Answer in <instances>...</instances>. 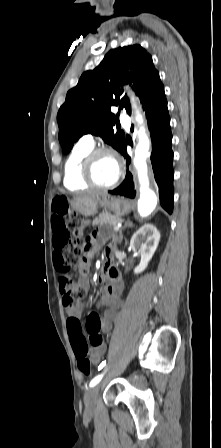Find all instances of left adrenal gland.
<instances>
[{
	"instance_id": "left-adrenal-gland-1",
	"label": "left adrenal gland",
	"mask_w": 221,
	"mask_h": 448,
	"mask_svg": "<svg viewBox=\"0 0 221 448\" xmlns=\"http://www.w3.org/2000/svg\"><path fill=\"white\" fill-rule=\"evenodd\" d=\"M132 225V223L131 222H126L125 224H124V226H123V228L122 229H124V228H126V227H129V226H131ZM122 238H123V235H122V230L119 232V238H118V240H119V242L122 240Z\"/></svg>"
}]
</instances>
